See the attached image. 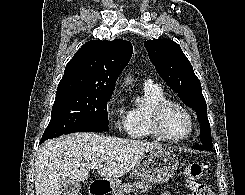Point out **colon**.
I'll use <instances>...</instances> for the list:
<instances>
[{"instance_id": "colon-1", "label": "colon", "mask_w": 245, "mask_h": 195, "mask_svg": "<svg viewBox=\"0 0 245 195\" xmlns=\"http://www.w3.org/2000/svg\"><path fill=\"white\" fill-rule=\"evenodd\" d=\"M207 165L196 163L190 165L186 170L187 185L192 195H214L209 186L203 181Z\"/></svg>"}]
</instances>
